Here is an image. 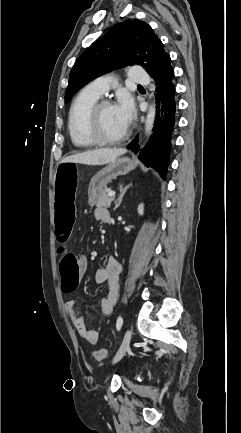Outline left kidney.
Here are the masks:
<instances>
[{
  "mask_svg": "<svg viewBox=\"0 0 241 433\" xmlns=\"http://www.w3.org/2000/svg\"><path fill=\"white\" fill-rule=\"evenodd\" d=\"M138 214L139 215H143L144 214V205L143 204H140L138 206Z\"/></svg>",
  "mask_w": 241,
  "mask_h": 433,
  "instance_id": "5707ae66",
  "label": "left kidney"
}]
</instances>
